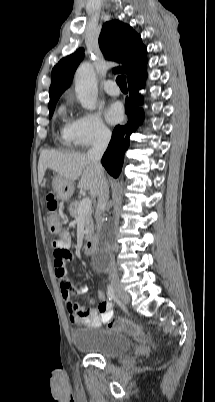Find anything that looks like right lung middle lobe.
Listing matches in <instances>:
<instances>
[{
    "label": "right lung middle lobe",
    "instance_id": "obj_1",
    "mask_svg": "<svg viewBox=\"0 0 215 402\" xmlns=\"http://www.w3.org/2000/svg\"><path fill=\"white\" fill-rule=\"evenodd\" d=\"M58 99L59 98H55V99L50 100V102H49V116H50V118L53 115V112H54V109H55V106H56V102L58 101Z\"/></svg>",
    "mask_w": 215,
    "mask_h": 402
}]
</instances>
